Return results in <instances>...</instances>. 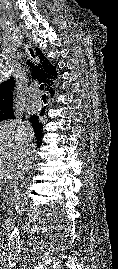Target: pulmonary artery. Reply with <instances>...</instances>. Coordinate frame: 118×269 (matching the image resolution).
<instances>
[{"label":"pulmonary artery","mask_w":118,"mask_h":269,"mask_svg":"<svg viewBox=\"0 0 118 269\" xmlns=\"http://www.w3.org/2000/svg\"><path fill=\"white\" fill-rule=\"evenodd\" d=\"M32 101H33L34 103H39V102H40V99H39V98H33Z\"/></svg>","instance_id":"1"}]
</instances>
